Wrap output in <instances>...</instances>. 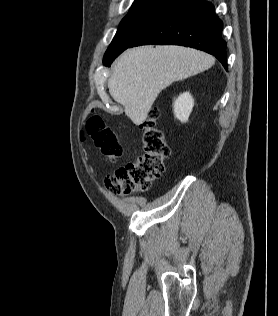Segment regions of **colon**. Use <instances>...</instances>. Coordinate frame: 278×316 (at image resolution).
Here are the masks:
<instances>
[{"mask_svg": "<svg viewBox=\"0 0 278 316\" xmlns=\"http://www.w3.org/2000/svg\"><path fill=\"white\" fill-rule=\"evenodd\" d=\"M159 110L151 109L141 123L143 153L134 162L119 167L105 178V187L111 193L127 195L147 191L164 171V161L169 146L157 127ZM86 133L95 146L111 161L122 155V146L115 130L107 126L99 116H92L86 124Z\"/></svg>", "mask_w": 278, "mask_h": 316, "instance_id": "5ec220e1", "label": "colon"}]
</instances>
